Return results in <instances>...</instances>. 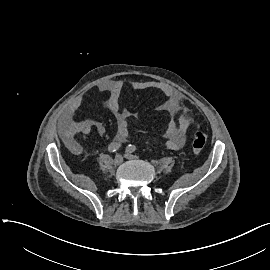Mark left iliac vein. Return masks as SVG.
Instances as JSON below:
<instances>
[{
  "mask_svg": "<svg viewBox=\"0 0 270 270\" xmlns=\"http://www.w3.org/2000/svg\"><path fill=\"white\" fill-rule=\"evenodd\" d=\"M124 156L126 159H129V160L136 159V156H134L133 154H131L129 152L125 153Z\"/></svg>",
  "mask_w": 270,
  "mask_h": 270,
  "instance_id": "left-iliac-vein-1",
  "label": "left iliac vein"
}]
</instances>
